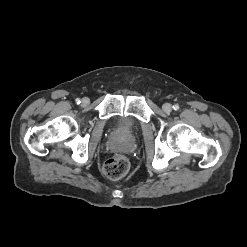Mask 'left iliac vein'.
I'll return each mask as SVG.
<instances>
[{
    "instance_id": "1",
    "label": "left iliac vein",
    "mask_w": 247,
    "mask_h": 247,
    "mask_svg": "<svg viewBox=\"0 0 247 247\" xmlns=\"http://www.w3.org/2000/svg\"><path fill=\"white\" fill-rule=\"evenodd\" d=\"M162 109L164 110V112L170 113L172 111V106L169 103H165L163 104Z\"/></svg>"
}]
</instances>
